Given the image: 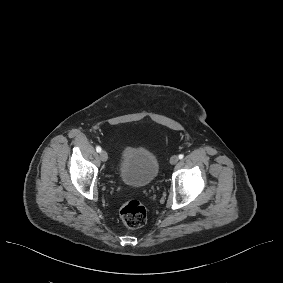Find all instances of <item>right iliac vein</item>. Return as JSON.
Here are the masks:
<instances>
[{"label":"right iliac vein","instance_id":"1","mask_svg":"<svg viewBox=\"0 0 283 283\" xmlns=\"http://www.w3.org/2000/svg\"><path fill=\"white\" fill-rule=\"evenodd\" d=\"M100 158L103 162H106L108 160V155L104 150L100 152Z\"/></svg>","mask_w":283,"mask_h":283}]
</instances>
